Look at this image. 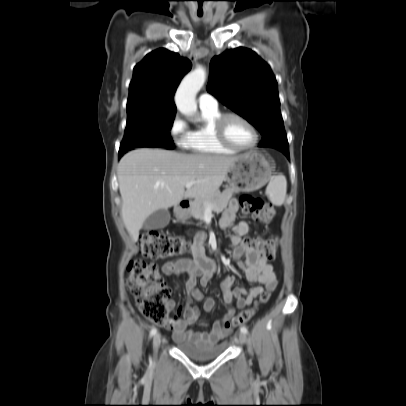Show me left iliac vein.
<instances>
[{
  "instance_id": "4c4485c4",
  "label": "left iliac vein",
  "mask_w": 406,
  "mask_h": 406,
  "mask_svg": "<svg viewBox=\"0 0 406 406\" xmlns=\"http://www.w3.org/2000/svg\"><path fill=\"white\" fill-rule=\"evenodd\" d=\"M238 341L241 343V344H245L246 343V341H247V337H246V334H244V333H239V335H238Z\"/></svg>"
}]
</instances>
